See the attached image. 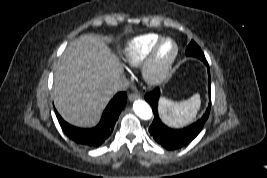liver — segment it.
I'll return each instance as SVG.
<instances>
[{
    "mask_svg": "<svg viewBox=\"0 0 267 178\" xmlns=\"http://www.w3.org/2000/svg\"><path fill=\"white\" fill-rule=\"evenodd\" d=\"M122 74L119 60L100 37L81 35L56 64L53 99L57 111L75 126L94 125L113 96L108 87Z\"/></svg>",
    "mask_w": 267,
    "mask_h": 178,
    "instance_id": "obj_1",
    "label": "liver"
}]
</instances>
